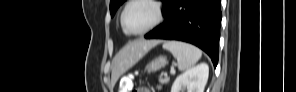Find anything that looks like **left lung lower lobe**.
Segmentation results:
<instances>
[{"label": "left lung lower lobe", "mask_w": 296, "mask_h": 92, "mask_svg": "<svg viewBox=\"0 0 296 92\" xmlns=\"http://www.w3.org/2000/svg\"><path fill=\"white\" fill-rule=\"evenodd\" d=\"M164 22L146 34V39L180 40L204 50L218 63L221 0H169Z\"/></svg>", "instance_id": "left-lung-lower-lobe-1"}]
</instances>
